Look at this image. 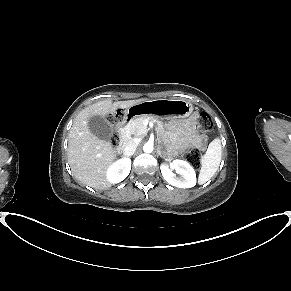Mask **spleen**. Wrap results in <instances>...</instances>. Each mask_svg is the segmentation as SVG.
Segmentation results:
<instances>
[{"mask_svg": "<svg viewBox=\"0 0 291 291\" xmlns=\"http://www.w3.org/2000/svg\"><path fill=\"white\" fill-rule=\"evenodd\" d=\"M222 157V146L219 138L214 139L208 146L201 159V170L198 177L199 184L206 183L217 172Z\"/></svg>", "mask_w": 291, "mask_h": 291, "instance_id": "spleen-1", "label": "spleen"}]
</instances>
